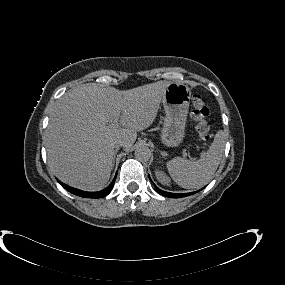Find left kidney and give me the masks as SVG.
<instances>
[{"mask_svg": "<svg viewBox=\"0 0 285 285\" xmlns=\"http://www.w3.org/2000/svg\"><path fill=\"white\" fill-rule=\"evenodd\" d=\"M155 176H156L157 180H158L161 184L167 185V186L170 185L171 180H170V178L166 175V173H165L164 171L159 170V169L155 170Z\"/></svg>", "mask_w": 285, "mask_h": 285, "instance_id": "obj_1", "label": "left kidney"}]
</instances>
